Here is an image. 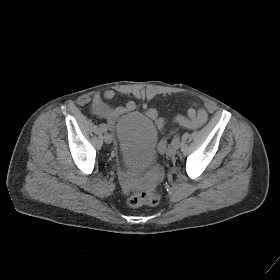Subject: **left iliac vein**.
<instances>
[{"label": "left iliac vein", "instance_id": "obj_1", "mask_svg": "<svg viewBox=\"0 0 280 280\" xmlns=\"http://www.w3.org/2000/svg\"><path fill=\"white\" fill-rule=\"evenodd\" d=\"M176 152H177V150H176L175 147L169 146L168 149H167V151H166V154H167V156H169V157H174V156L176 155Z\"/></svg>", "mask_w": 280, "mask_h": 280}]
</instances>
